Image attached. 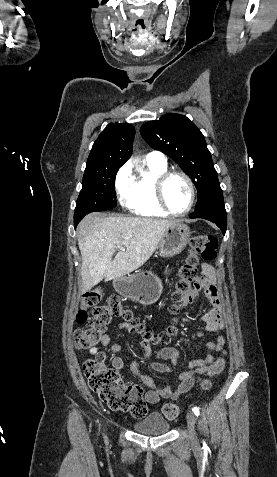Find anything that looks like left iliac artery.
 <instances>
[{
	"label": "left iliac artery",
	"instance_id": "1",
	"mask_svg": "<svg viewBox=\"0 0 277 477\" xmlns=\"http://www.w3.org/2000/svg\"><path fill=\"white\" fill-rule=\"evenodd\" d=\"M193 411H194V414H195L196 416L199 415V409H198L197 407H194V408H193Z\"/></svg>",
	"mask_w": 277,
	"mask_h": 477
}]
</instances>
